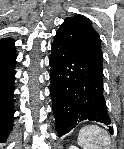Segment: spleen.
Masks as SVG:
<instances>
[{"instance_id":"1","label":"spleen","mask_w":124,"mask_h":149,"mask_svg":"<svg viewBox=\"0 0 124 149\" xmlns=\"http://www.w3.org/2000/svg\"><path fill=\"white\" fill-rule=\"evenodd\" d=\"M109 137L97 126H88L81 129L78 143L83 149H106Z\"/></svg>"}]
</instances>
